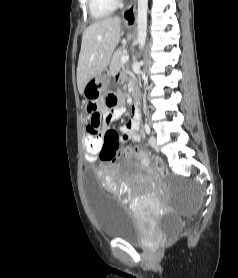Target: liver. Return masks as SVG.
Masks as SVG:
<instances>
[{
    "label": "liver",
    "instance_id": "1",
    "mask_svg": "<svg viewBox=\"0 0 238 278\" xmlns=\"http://www.w3.org/2000/svg\"><path fill=\"white\" fill-rule=\"evenodd\" d=\"M119 17L106 18L89 25L82 36L77 67V86L80 94L88 81L102 73L120 41Z\"/></svg>",
    "mask_w": 238,
    "mask_h": 278
}]
</instances>
